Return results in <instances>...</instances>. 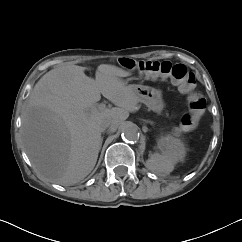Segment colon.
I'll return each mask as SVG.
<instances>
[{"label":"colon","mask_w":242,"mask_h":242,"mask_svg":"<svg viewBox=\"0 0 242 242\" xmlns=\"http://www.w3.org/2000/svg\"><path fill=\"white\" fill-rule=\"evenodd\" d=\"M121 66L134 69L153 78L170 79L182 93L187 94L189 111L182 117L179 129L194 128L205 109V99L195 90L196 79L184 64H174L168 61L135 60L121 58Z\"/></svg>","instance_id":"obj_1"}]
</instances>
